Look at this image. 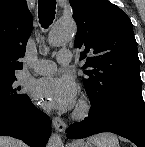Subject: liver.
<instances>
[{
	"label": "liver",
	"mask_w": 145,
	"mask_h": 147,
	"mask_svg": "<svg viewBox=\"0 0 145 147\" xmlns=\"http://www.w3.org/2000/svg\"><path fill=\"white\" fill-rule=\"evenodd\" d=\"M0 147H26V145L14 138L0 136Z\"/></svg>",
	"instance_id": "obj_1"
}]
</instances>
